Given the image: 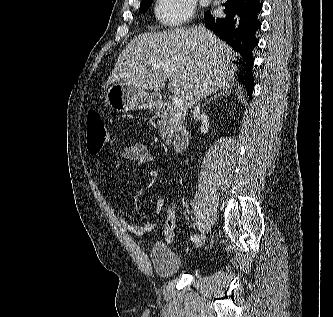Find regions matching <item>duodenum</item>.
<instances>
[{"mask_svg":"<svg viewBox=\"0 0 333 317\" xmlns=\"http://www.w3.org/2000/svg\"><path fill=\"white\" fill-rule=\"evenodd\" d=\"M151 102L154 106L162 107L164 105V100L161 96H153ZM189 144V135L185 131H181L175 135L172 141L173 150L176 153H183Z\"/></svg>","mask_w":333,"mask_h":317,"instance_id":"obj_1","label":"duodenum"}]
</instances>
